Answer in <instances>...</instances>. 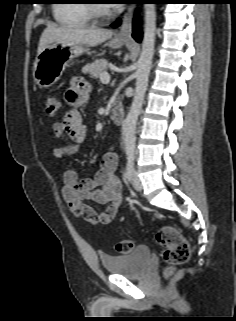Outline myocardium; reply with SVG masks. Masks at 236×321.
I'll return each instance as SVG.
<instances>
[{
  "mask_svg": "<svg viewBox=\"0 0 236 321\" xmlns=\"http://www.w3.org/2000/svg\"><path fill=\"white\" fill-rule=\"evenodd\" d=\"M86 7L89 13L90 18L97 22H103L111 18L115 14V10L112 6L103 7L100 5V2L97 0H87ZM104 4V3H103Z\"/></svg>",
  "mask_w": 236,
  "mask_h": 321,
  "instance_id": "1",
  "label": "myocardium"
}]
</instances>
